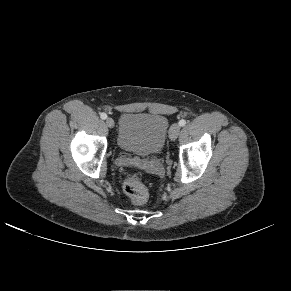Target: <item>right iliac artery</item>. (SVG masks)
<instances>
[{"mask_svg":"<svg viewBox=\"0 0 291 291\" xmlns=\"http://www.w3.org/2000/svg\"><path fill=\"white\" fill-rule=\"evenodd\" d=\"M100 117H101V119L105 120L107 118V114L106 113H101Z\"/></svg>","mask_w":291,"mask_h":291,"instance_id":"82829eb1","label":"right iliac artery"}]
</instances>
